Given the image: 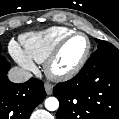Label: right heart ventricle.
<instances>
[{
    "instance_id": "obj_1",
    "label": "right heart ventricle",
    "mask_w": 119,
    "mask_h": 119,
    "mask_svg": "<svg viewBox=\"0 0 119 119\" xmlns=\"http://www.w3.org/2000/svg\"><path fill=\"white\" fill-rule=\"evenodd\" d=\"M74 30L65 26H53L38 32H30L21 37L27 55L38 63H43L57 43Z\"/></svg>"
}]
</instances>
